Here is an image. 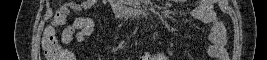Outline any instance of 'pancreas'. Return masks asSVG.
<instances>
[{
  "instance_id": "obj_1",
  "label": "pancreas",
  "mask_w": 267,
  "mask_h": 60,
  "mask_svg": "<svg viewBox=\"0 0 267 60\" xmlns=\"http://www.w3.org/2000/svg\"><path fill=\"white\" fill-rule=\"evenodd\" d=\"M126 2L130 6H135L134 1H132V0H127Z\"/></svg>"
}]
</instances>
